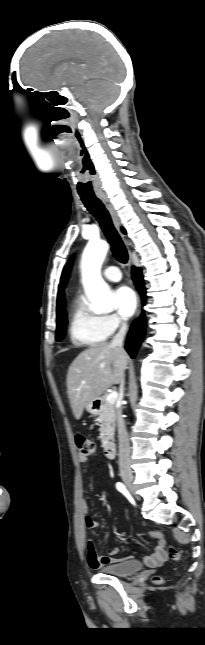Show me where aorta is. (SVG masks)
Instances as JSON below:
<instances>
[{
  "mask_svg": "<svg viewBox=\"0 0 205 645\" xmlns=\"http://www.w3.org/2000/svg\"><path fill=\"white\" fill-rule=\"evenodd\" d=\"M107 250L105 241L89 242L82 257L83 285L91 308L98 313L110 312L114 307L110 290L100 274Z\"/></svg>",
  "mask_w": 205,
  "mask_h": 645,
  "instance_id": "762f6f07",
  "label": "aorta"
}]
</instances>
